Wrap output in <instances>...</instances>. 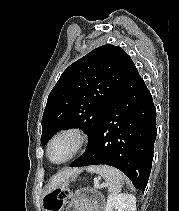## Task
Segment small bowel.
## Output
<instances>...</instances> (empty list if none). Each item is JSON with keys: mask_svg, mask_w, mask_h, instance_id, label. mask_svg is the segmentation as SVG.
I'll use <instances>...</instances> for the list:
<instances>
[{"mask_svg": "<svg viewBox=\"0 0 179 211\" xmlns=\"http://www.w3.org/2000/svg\"><path fill=\"white\" fill-rule=\"evenodd\" d=\"M66 211H104V199L92 189H83L72 197Z\"/></svg>", "mask_w": 179, "mask_h": 211, "instance_id": "small-bowel-1", "label": "small bowel"}]
</instances>
